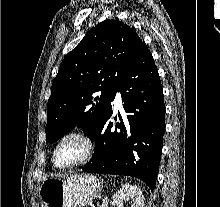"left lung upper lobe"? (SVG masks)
<instances>
[{
	"label": "left lung upper lobe",
	"instance_id": "obj_1",
	"mask_svg": "<svg viewBox=\"0 0 220 207\" xmlns=\"http://www.w3.org/2000/svg\"><path fill=\"white\" fill-rule=\"evenodd\" d=\"M142 43L134 27L104 20L63 59L47 104V142L76 127L92 138L111 109L113 94ZM101 95L97 96V92Z\"/></svg>",
	"mask_w": 220,
	"mask_h": 207
}]
</instances>
